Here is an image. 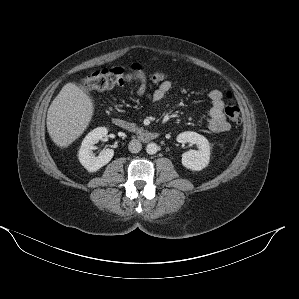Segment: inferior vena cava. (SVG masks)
Listing matches in <instances>:
<instances>
[{
	"mask_svg": "<svg viewBox=\"0 0 299 299\" xmlns=\"http://www.w3.org/2000/svg\"><path fill=\"white\" fill-rule=\"evenodd\" d=\"M128 149L131 153H138L142 149V144L139 140L133 139L129 142Z\"/></svg>",
	"mask_w": 299,
	"mask_h": 299,
	"instance_id": "obj_1",
	"label": "inferior vena cava"
}]
</instances>
